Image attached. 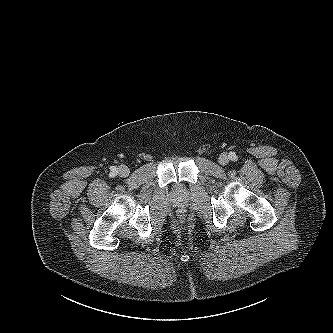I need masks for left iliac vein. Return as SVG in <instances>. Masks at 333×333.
<instances>
[{
    "label": "left iliac vein",
    "mask_w": 333,
    "mask_h": 333,
    "mask_svg": "<svg viewBox=\"0 0 333 333\" xmlns=\"http://www.w3.org/2000/svg\"><path fill=\"white\" fill-rule=\"evenodd\" d=\"M228 162H229L228 155L226 153L221 154L219 157V163L221 165H226V164H228Z\"/></svg>",
    "instance_id": "1"
}]
</instances>
